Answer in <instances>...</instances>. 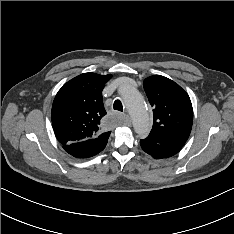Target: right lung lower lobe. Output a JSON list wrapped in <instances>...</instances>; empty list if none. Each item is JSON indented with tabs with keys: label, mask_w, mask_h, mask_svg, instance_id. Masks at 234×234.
<instances>
[{
	"label": "right lung lower lobe",
	"mask_w": 234,
	"mask_h": 234,
	"mask_svg": "<svg viewBox=\"0 0 234 234\" xmlns=\"http://www.w3.org/2000/svg\"><path fill=\"white\" fill-rule=\"evenodd\" d=\"M108 138H93L80 142L64 145V150L70 155L77 158H88L92 157L101 152L106 144Z\"/></svg>",
	"instance_id": "1"
}]
</instances>
